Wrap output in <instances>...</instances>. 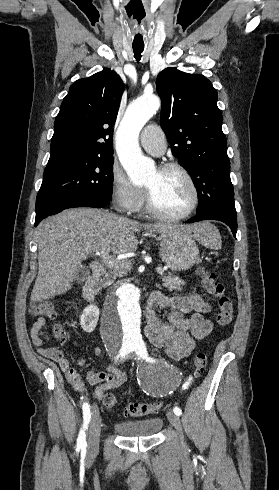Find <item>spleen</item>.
Masks as SVG:
<instances>
[{
	"instance_id": "3e777b00",
	"label": "spleen",
	"mask_w": 279,
	"mask_h": 490,
	"mask_svg": "<svg viewBox=\"0 0 279 490\" xmlns=\"http://www.w3.org/2000/svg\"><path fill=\"white\" fill-rule=\"evenodd\" d=\"M201 242L202 246L205 248H210V250H220L221 248V236L219 230L213 224H208L206 222V230L203 234H200L197 238Z\"/></svg>"
}]
</instances>
